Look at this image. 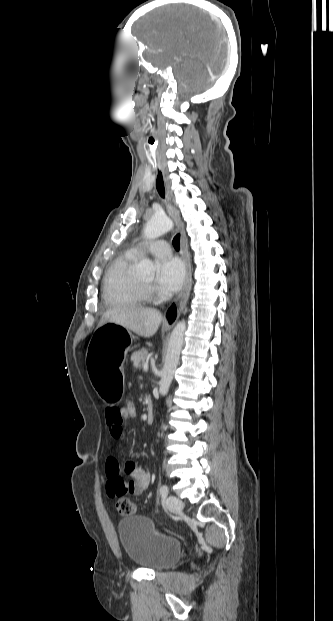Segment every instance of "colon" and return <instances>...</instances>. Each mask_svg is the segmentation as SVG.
Returning <instances> with one entry per match:
<instances>
[{"mask_svg":"<svg viewBox=\"0 0 333 621\" xmlns=\"http://www.w3.org/2000/svg\"><path fill=\"white\" fill-rule=\"evenodd\" d=\"M121 409L123 411V415L125 419L132 420L135 419L138 415V407L134 400L132 399H124L121 401ZM116 507L118 512L121 515H132L135 513V505L128 498H120Z\"/></svg>","mask_w":333,"mask_h":621,"instance_id":"colon-1","label":"colon"}]
</instances>
